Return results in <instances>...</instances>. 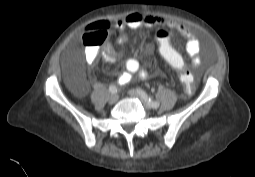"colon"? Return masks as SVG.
I'll return each instance as SVG.
<instances>
[{"mask_svg":"<svg viewBox=\"0 0 255 177\" xmlns=\"http://www.w3.org/2000/svg\"><path fill=\"white\" fill-rule=\"evenodd\" d=\"M108 27L109 25L106 22H98L87 26L84 34L86 44L97 46L104 43L107 39ZM154 39L155 49L160 54L162 62L175 70L179 83L185 86V93L192 94L195 89L193 74L178 48L170 42V33L166 30L157 31Z\"/></svg>","mask_w":255,"mask_h":177,"instance_id":"5ec220e1","label":"colon"}]
</instances>
